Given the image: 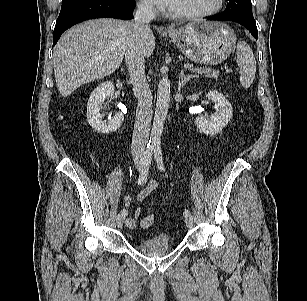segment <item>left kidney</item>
I'll return each mask as SVG.
<instances>
[{
	"label": "left kidney",
	"instance_id": "1",
	"mask_svg": "<svg viewBox=\"0 0 307 301\" xmlns=\"http://www.w3.org/2000/svg\"><path fill=\"white\" fill-rule=\"evenodd\" d=\"M207 98L213 101L217 107V111L209 119L204 116L195 119L197 128L207 135H215L222 131L232 118V106L226 100L222 93L210 90L207 93Z\"/></svg>",
	"mask_w": 307,
	"mask_h": 301
}]
</instances>
